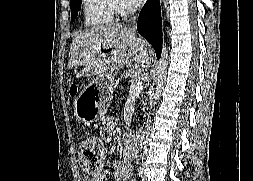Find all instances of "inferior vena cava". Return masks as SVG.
<instances>
[{
  "mask_svg": "<svg viewBox=\"0 0 253 181\" xmlns=\"http://www.w3.org/2000/svg\"><path fill=\"white\" fill-rule=\"evenodd\" d=\"M128 12L133 14L135 13L136 9L134 7H128ZM133 22L135 23V17L133 18ZM148 133H151V130H148Z\"/></svg>",
  "mask_w": 253,
  "mask_h": 181,
  "instance_id": "1",
  "label": "inferior vena cava"
}]
</instances>
